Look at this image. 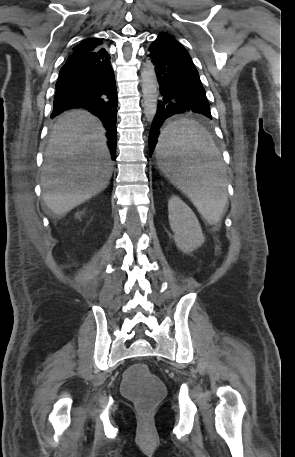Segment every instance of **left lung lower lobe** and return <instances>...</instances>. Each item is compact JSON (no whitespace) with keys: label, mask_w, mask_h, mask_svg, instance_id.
I'll return each instance as SVG.
<instances>
[{"label":"left lung lower lobe","mask_w":295,"mask_h":457,"mask_svg":"<svg viewBox=\"0 0 295 457\" xmlns=\"http://www.w3.org/2000/svg\"><path fill=\"white\" fill-rule=\"evenodd\" d=\"M155 66L161 98L149 135L152 155L161 134L163 122L175 114L194 112L212 119L205 90L189 53L168 41L155 39L148 48Z\"/></svg>","instance_id":"obj_1"}]
</instances>
